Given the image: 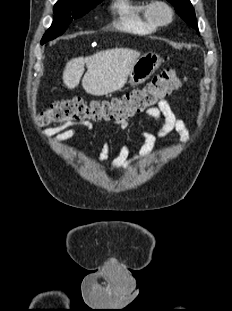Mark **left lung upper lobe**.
Segmentation results:
<instances>
[{"instance_id":"left-lung-upper-lobe-1","label":"left lung upper lobe","mask_w":232,"mask_h":311,"mask_svg":"<svg viewBox=\"0 0 232 311\" xmlns=\"http://www.w3.org/2000/svg\"><path fill=\"white\" fill-rule=\"evenodd\" d=\"M175 8L176 12L194 29L198 31L194 8L190 0H167Z\"/></svg>"}]
</instances>
